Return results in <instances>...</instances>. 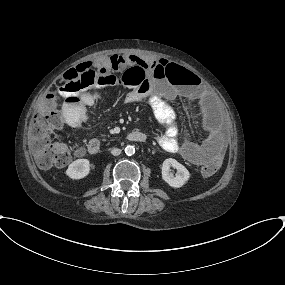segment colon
Segmentation results:
<instances>
[{
	"mask_svg": "<svg viewBox=\"0 0 285 285\" xmlns=\"http://www.w3.org/2000/svg\"><path fill=\"white\" fill-rule=\"evenodd\" d=\"M123 58L117 55L108 56L96 65L93 61H86L75 68L66 71L61 82L65 84L62 91L80 89L93 84L97 79L112 81L126 86L132 90L143 92L149 85L145 63L137 60L136 64L127 66L121 70ZM154 66L158 70L159 77L166 79H178L184 72L176 69L168 61H156ZM86 120L81 119L80 124ZM65 124L64 117L59 109L56 94L45 97L43 108L34 114L28 131V139L31 154L37 166L41 169H50L67 165L72 157V152L65 144L55 142L51 134L62 128ZM223 162V157L217 156L211 163L202 168V175L210 177L216 173Z\"/></svg>",
	"mask_w": 285,
	"mask_h": 285,
	"instance_id": "obj_1",
	"label": "colon"
}]
</instances>
